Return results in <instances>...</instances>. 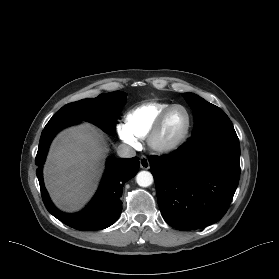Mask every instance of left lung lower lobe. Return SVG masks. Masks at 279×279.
Wrapping results in <instances>:
<instances>
[{"mask_svg":"<svg viewBox=\"0 0 279 279\" xmlns=\"http://www.w3.org/2000/svg\"><path fill=\"white\" fill-rule=\"evenodd\" d=\"M164 220L178 230L219 221L240 177V145L234 129L192 135L169 155L149 158Z\"/></svg>","mask_w":279,"mask_h":279,"instance_id":"obj_1","label":"left lung lower lobe"}]
</instances>
